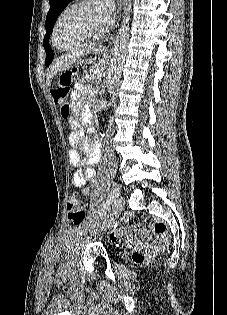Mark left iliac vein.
<instances>
[{
	"label": "left iliac vein",
	"mask_w": 227,
	"mask_h": 315,
	"mask_svg": "<svg viewBox=\"0 0 227 315\" xmlns=\"http://www.w3.org/2000/svg\"><path fill=\"white\" fill-rule=\"evenodd\" d=\"M113 192H115L117 196L110 213L105 217L101 225L102 231L107 230L114 223V221L120 216L124 207V199L120 196L119 187H114Z\"/></svg>",
	"instance_id": "obj_1"
}]
</instances>
